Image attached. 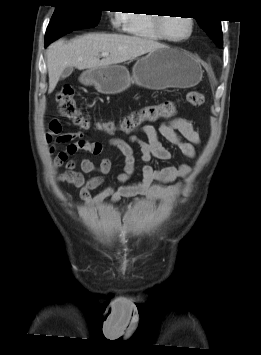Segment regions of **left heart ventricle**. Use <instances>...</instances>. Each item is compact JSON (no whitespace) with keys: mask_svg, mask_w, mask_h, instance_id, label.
<instances>
[{"mask_svg":"<svg viewBox=\"0 0 261 355\" xmlns=\"http://www.w3.org/2000/svg\"><path fill=\"white\" fill-rule=\"evenodd\" d=\"M189 30V21L185 17H170L164 20V31L171 38H183L188 35Z\"/></svg>","mask_w":261,"mask_h":355,"instance_id":"obj_1","label":"left heart ventricle"}]
</instances>
